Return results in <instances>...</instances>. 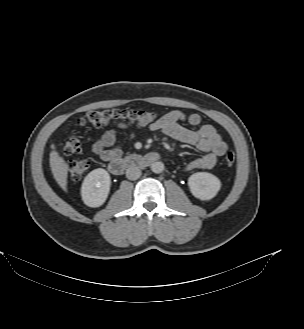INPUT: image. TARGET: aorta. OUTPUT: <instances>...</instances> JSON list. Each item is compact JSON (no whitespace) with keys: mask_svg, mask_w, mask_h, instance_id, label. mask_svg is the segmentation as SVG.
<instances>
[{"mask_svg":"<svg viewBox=\"0 0 304 329\" xmlns=\"http://www.w3.org/2000/svg\"><path fill=\"white\" fill-rule=\"evenodd\" d=\"M151 170L156 174L161 173L164 170V164L160 161L153 162L151 164Z\"/></svg>","mask_w":304,"mask_h":329,"instance_id":"obj_1","label":"aorta"}]
</instances>
